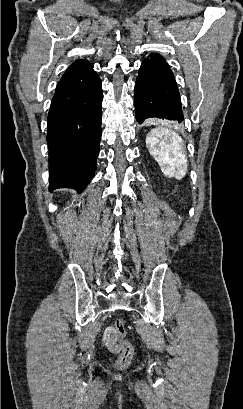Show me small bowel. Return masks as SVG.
Wrapping results in <instances>:
<instances>
[{"mask_svg":"<svg viewBox=\"0 0 243 409\" xmlns=\"http://www.w3.org/2000/svg\"><path fill=\"white\" fill-rule=\"evenodd\" d=\"M102 342L104 347L110 352L117 353L121 350L118 344V339L115 335L114 326H108L102 336Z\"/></svg>","mask_w":243,"mask_h":409,"instance_id":"small-bowel-1","label":"small bowel"}]
</instances>
